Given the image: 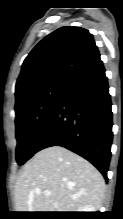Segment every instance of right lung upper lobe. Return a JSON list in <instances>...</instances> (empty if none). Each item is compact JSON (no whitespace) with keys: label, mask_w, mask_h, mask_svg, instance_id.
<instances>
[{"label":"right lung upper lobe","mask_w":123,"mask_h":219,"mask_svg":"<svg viewBox=\"0 0 123 219\" xmlns=\"http://www.w3.org/2000/svg\"><path fill=\"white\" fill-rule=\"evenodd\" d=\"M99 58L88 30L73 26L57 29L41 40L24 60L16 83V101L46 85L66 84Z\"/></svg>","instance_id":"obj_1"}]
</instances>
